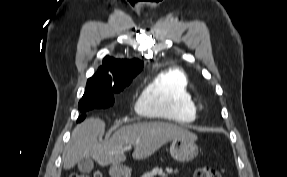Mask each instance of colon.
Returning <instances> with one entry per match:
<instances>
[{
	"instance_id": "obj_1",
	"label": "colon",
	"mask_w": 287,
	"mask_h": 177,
	"mask_svg": "<svg viewBox=\"0 0 287 177\" xmlns=\"http://www.w3.org/2000/svg\"><path fill=\"white\" fill-rule=\"evenodd\" d=\"M69 177H102L100 172L88 174H71ZM193 177H221V173L208 166H202L195 169Z\"/></svg>"
}]
</instances>
